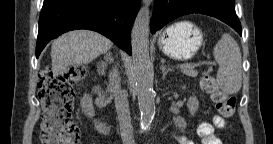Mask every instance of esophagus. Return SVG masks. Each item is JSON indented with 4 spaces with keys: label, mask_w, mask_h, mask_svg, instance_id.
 I'll use <instances>...</instances> for the list:
<instances>
[{
    "label": "esophagus",
    "mask_w": 273,
    "mask_h": 144,
    "mask_svg": "<svg viewBox=\"0 0 273 144\" xmlns=\"http://www.w3.org/2000/svg\"><path fill=\"white\" fill-rule=\"evenodd\" d=\"M143 2H144L145 4H147V5H150L151 2H152V0H143Z\"/></svg>",
    "instance_id": "esophagus-1"
}]
</instances>
